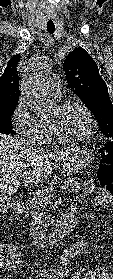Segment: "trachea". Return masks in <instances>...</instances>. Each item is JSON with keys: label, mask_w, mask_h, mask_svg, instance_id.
<instances>
[{"label": "trachea", "mask_w": 113, "mask_h": 279, "mask_svg": "<svg viewBox=\"0 0 113 279\" xmlns=\"http://www.w3.org/2000/svg\"><path fill=\"white\" fill-rule=\"evenodd\" d=\"M47 31L50 34H53L55 32V26L54 25H47Z\"/></svg>", "instance_id": "trachea-1"}]
</instances>
